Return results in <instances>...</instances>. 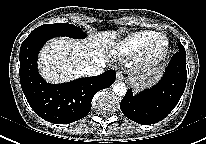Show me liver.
<instances>
[{
  "label": "liver",
  "instance_id": "obj_1",
  "mask_svg": "<svg viewBox=\"0 0 206 144\" xmlns=\"http://www.w3.org/2000/svg\"><path fill=\"white\" fill-rule=\"evenodd\" d=\"M116 35V31H103L83 41L51 40L39 57L41 75L49 82L63 83L84 75L83 69L88 66L105 64L111 57L108 50Z\"/></svg>",
  "mask_w": 206,
  "mask_h": 144
}]
</instances>
